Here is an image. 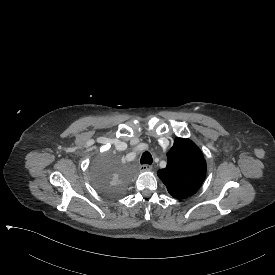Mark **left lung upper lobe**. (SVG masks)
I'll use <instances>...</instances> for the list:
<instances>
[{
    "label": "left lung upper lobe",
    "instance_id": "5c2ea615",
    "mask_svg": "<svg viewBox=\"0 0 275 275\" xmlns=\"http://www.w3.org/2000/svg\"><path fill=\"white\" fill-rule=\"evenodd\" d=\"M167 166L158 176L174 198H187L197 192L206 174V162L200 149L189 139L176 138L167 153Z\"/></svg>",
    "mask_w": 275,
    "mask_h": 275
}]
</instances>
